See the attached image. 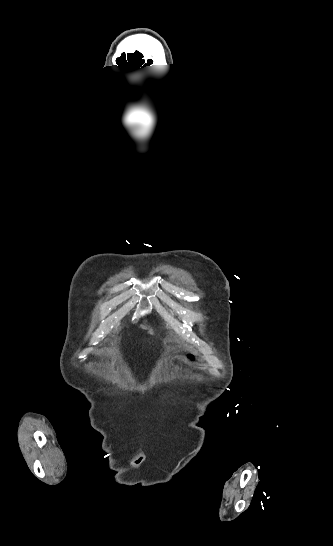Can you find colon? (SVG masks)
I'll return each mask as SVG.
<instances>
[{
    "mask_svg": "<svg viewBox=\"0 0 333 546\" xmlns=\"http://www.w3.org/2000/svg\"><path fill=\"white\" fill-rule=\"evenodd\" d=\"M189 359H190L191 361H195V360H196V358H195V356H194L193 354H190V355H189Z\"/></svg>",
    "mask_w": 333,
    "mask_h": 546,
    "instance_id": "obj_1",
    "label": "colon"
}]
</instances>
